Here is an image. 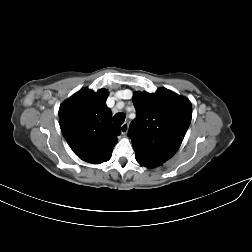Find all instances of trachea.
<instances>
[{
	"label": "trachea",
	"instance_id": "1",
	"mask_svg": "<svg viewBox=\"0 0 252 252\" xmlns=\"http://www.w3.org/2000/svg\"><path fill=\"white\" fill-rule=\"evenodd\" d=\"M125 121L124 113H117L113 117V122L117 125H122Z\"/></svg>",
	"mask_w": 252,
	"mask_h": 252
}]
</instances>
